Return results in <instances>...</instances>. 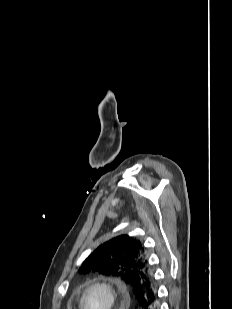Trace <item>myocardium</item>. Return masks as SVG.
I'll return each instance as SVG.
<instances>
[{"mask_svg": "<svg viewBox=\"0 0 232 309\" xmlns=\"http://www.w3.org/2000/svg\"><path fill=\"white\" fill-rule=\"evenodd\" d=\"M99 288L105 292V294L108 296L109 303L106 307V309H114L117 302H118V297L119 293L116 289V287L107 282V281H101L97 280L92 283H90L83 291L81 299H80V309H86V296L89 291L92 289Z\"/></svg>", "mask_w": 232, "mask_h": 309, "instance_id": "f54148a6", "label": "myocardium"}]
</instances>
